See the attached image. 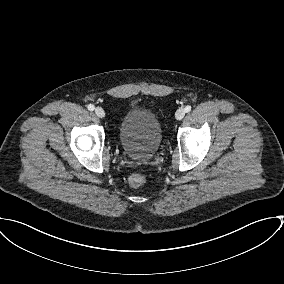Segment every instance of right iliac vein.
Masks as SVG:
<instances>
[{
  "instance_id": "right-iliac-vein-1",
  "label": "right iliac vein",
  "mask_w": 284,
  "mask_h": 284,
  "mask_svg": "<svg viewBox=\"0 0 284 284\" xmlns=\"http://www.w3.org/2000/svg\"><path fill=\"white\" fill-rule=\"evenodd\" d=\"M95 114L99 117V118H104L105 117V111L101 108V107H97L95 109Z\"/></svg>"
}]
</instances>
